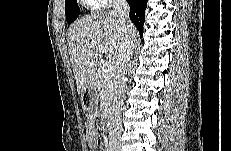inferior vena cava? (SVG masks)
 <instances>
[{"mask_svg":"<svg viewBox=\"0 0 231 151\" xmlns=\"http://www.w3.org/2000/svg\"><path fill=\"white\" fill-rule=\"evenodd\" d=\"M113 13L117 16L120 29L125 35L126 41L119 57L116 74L114 77V101L109 119V146L113 147L119 143L122 132V109L123 92L125 90V76L128 72L130 60L135 47L132 23L129 19L130 7L126 0L113 1Z\"/></svg>","mask_w":231,"mask_h":151,"instance_id":"obj_1","label":"inferior vena cava"}]
</instances>
